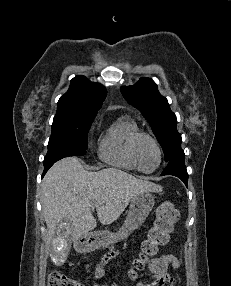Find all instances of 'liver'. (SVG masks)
<instances>
[{"label":"liver","mask_w":231,"mask_h":286,"mask_svg":"<svg viewBox=\"0 0 231 286\" xmlns=\"http://www.w3.org/2000/svg\"><path fill=\"white\" fill-rule=\"evenodd\" d=\"M41 187L42 214L49 238L55 236L63 219H69L72 226L68 234L73 242L96 227L92 207L96 208L98 220L109 225L120 217L136 195L162 191L161 186L139 180L120 169L87 171L76 157L55 163L45 175Z\"/></svg>","instance_id":"6515ba94"}]
</instances>
